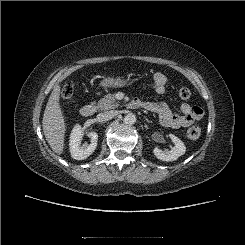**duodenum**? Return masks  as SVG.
<instances>
[{
	"label": "duodenum",
	"mask_w": 245,
	"mask_h": 245,
	"mask_svg": "<svg viewBox=\"0 0 245 245\" xmlns=\"http://www.w3.org/2000/svg\"><path fill=\"white\" fill-rule=\"evenodd\" d=\"M132 105L141 106L140 102H135ZM95 113V107L91 104H86L80 109V114L82 117H91Z\"/></svg>",
	"instance_id": "obj_1"
}]
</instances>
